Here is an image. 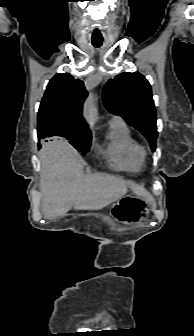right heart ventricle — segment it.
Here are the masks:
<instances>
[{"label": "right heart ventricle", "instance_id": "e07e8e85", "mask_svg": "<svg viewBox=\"0 0 194 336\" xmlns=\"http://www.w3.org/2000/svg\"><path fill=\"white\" fill-rule=\"evenodd\" d=\"M102 152L114 168L132 172L140 170L145 159L143 147L125 123L110 125Z\"/></svg>", "mask_w": 194, "mask_h": 336}]
</instances>
